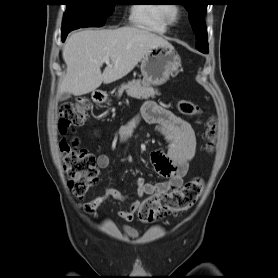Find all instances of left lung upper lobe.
<instances>
[{"instance_id":"5c2ea615","label":"left lung upper lobe","mask_w":278,"mask_h":278,"mask_svg":"<svg viewBox=\"0 0 278 278\" xmlns=\"http://www.w3.org/2000/svg\"><path fill=\"white\" fill-rule=\"evenodd\" d=\"M183 2V6L189 12V20L196 34V48L202 53H208L207 30L204 21L207 0H183Z\"/></svg>"}]
</instances>
